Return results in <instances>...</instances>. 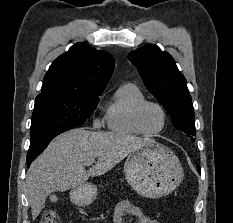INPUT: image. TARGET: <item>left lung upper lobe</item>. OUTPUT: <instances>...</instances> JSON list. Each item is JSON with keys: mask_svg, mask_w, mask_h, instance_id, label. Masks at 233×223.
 <instances>
[{"mask_svg": "<svg viewBox=\"0 0 233 223\" xmlns=\"http://www.w3.org/2000/svg\"><path fill=\"white\" fill-rule=\"evenodd\" d=\"M128 58L138 68L149 92L172 116L174 126L194 141L191 137L196 136L192 98L172 56L156 45H147L130 52Z\"/></svg>", "mask_w": 233, "mask_h": 223, "instance_id": "5c2ea615", "label": "left lung upper lobe"}]
</instances>
